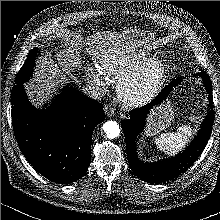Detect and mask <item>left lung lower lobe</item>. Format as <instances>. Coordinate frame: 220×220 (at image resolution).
Masks as SVG:
<instances>
[{
  "label": "left lung lower lobe",
  "instance_id": "obj_1",
  "mask_svg": "<svg viewBox=\"0 0 220 220\" xmlns=\"http://www.w3.org/2000/svg\"><path fill=\"white\" fill-rule=\"evenodd\" d=\"M196 75L200 76L203 80L208 94L210 110L204 119L197 136L181 154L157 163H144L138 159L136 154L135 140L137 139L138 134L144 129L145 119L150 110L167 98L172 89L182 81V77H178L171 81L169 85H167L149 104L133 109L130 112V118L121 123L126 139L129 164L133 172L140 179L147 182L158 183L177 177L185 172L198 159L204 150L211 135L214 122L212 84L206 73L201 72Z\"/></svg>",
  "mask_w": 220,
  "mask_h": 220
}]
</instances>
